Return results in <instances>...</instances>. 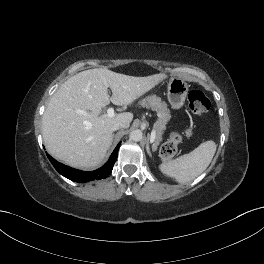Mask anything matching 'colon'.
Listing matches in <instances>:
<instances>
[{
    "instance_id": "colon-1",
    "label": "colon",
    "mask_w": 264,
    "mask_h": 264,
    "mask_svg": "<svg viewBox=\"0 0 264 264\" xmlns=\"http://www.w3.org/2000/svg\"><path fill=\"white\" fill-rule=\"evenodd\" d=\"M188 106L190 111L197 116L206 113L210 108V100L200 90H192L188 95ZM192 129L186 126L181 132L171 133L169 139L162 145L160 153L164 160L172 158L178 149L183 136H190Z\"/></svg>"
}]
</instances>
